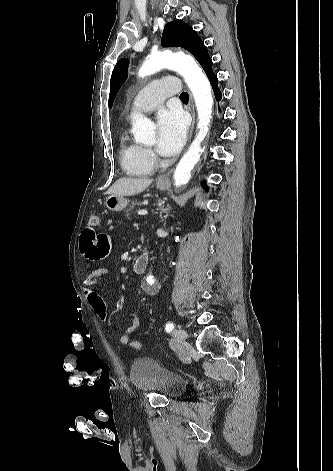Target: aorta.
<instances>
[{
  "label": "aorta",
  "instance_id": "1",
  "mask_svg": "<svg viewBox=\"0 0 333 471\" xmlns=\"http://www.w3.org/2000/svg\"><path fill=\"white\" fill-rule=\"evenodd\" d=\"M162 68H170L183 76L190 88L198 113L199 132L183 155L174 172L175 186L186 185L191 178V171L201 156V144L209 131L212 118L213 97L210 83L196 61L185 55H179L167 50L153 53L138 71V76L144 78ZM132 132L138 142H150L155 139V125L147 118L138 115L134 118ZM149 283L155 280L149 277Z\"/></svg>",
  "mask_w": 333,
  "mask_h": 471
}]
</instances>
